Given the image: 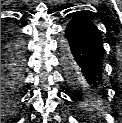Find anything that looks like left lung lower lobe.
I'll return each mask as SVG.
<instances>
[{
	"label": "left lung lower lobe",
	"instance_id": "obj_1",
	"mask_svg": "<svg viewBox=\"0 0 122 123\" xmlns=\"http://www.w3.org/2000/svg\"><path fill=\"white\" fill-rule=\"evenodd\" d=\"M61 53L68 85L87 98L99 97L104 49L90 18L77 14L71 19L61 41Z\"/></svg>",
	"mask_w": 122,
	"mask_h": 123
}]
</instances>
